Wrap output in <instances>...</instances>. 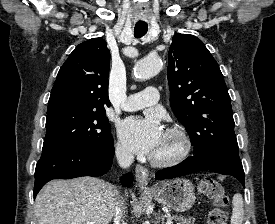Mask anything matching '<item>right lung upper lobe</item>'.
I'll use <instances>...</instances> for the list:
<instances>
[{"label":"right lung upper lobe","instance_id":"right-lung-upper-lobe-1","mask_svg":"<svg viewBox=\"0 0 275 224\" xmlns=\"http://www.w3.org/2000/svg\"><path fill=\"white\" fill-rule=\"evenodd\" d=\"M110 51L103 38L79 44L60 68L51 91L47 114L66 110H104L110 106Z\"/></svg>","mask_w":275,"mask_h":224}]
</instances>
